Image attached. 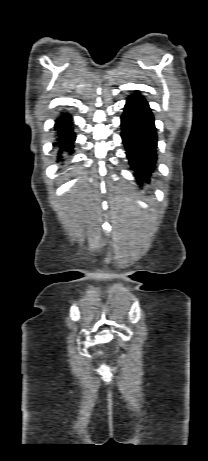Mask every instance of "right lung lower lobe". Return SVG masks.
Returning <instances> with one entry per match:
<instances>
[{
  "label": "right lung lower lobe",
  "mask_w": 208,
  "mask_h": 461,
  "mask_svg": "<svg viewBox=\"0 0 208 461\" xmlns=\"http://www.w3.org/2000/svg\"><path fill=\"white\" fill-rule=\"evenodd\" d=\"M72 119L69 115L63 114L56 120L54 126L57 131V140L53 143L54 147L58 149V160L63 161L62 153L69 152L73 153V143L76 135L73 132Z\"/></svg>",
  "instance_id": "right-lung-lower-lobe-1"
}]
</instances>
